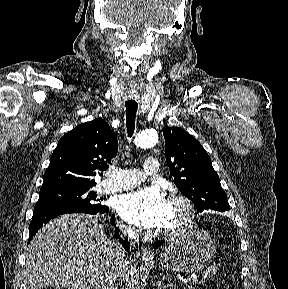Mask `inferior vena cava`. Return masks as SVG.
Instances as JSON below:
<instances>
[{"instance_id": "602c4592", "label": "inferior vena cava", "mask_w": 288, "mask_h": 289, "mask_svg": "<svg viewBox=\"0 0 288 289\" xmlns=\"http://www.w3.org/2000/svg\"><path fill=\"white\" fill-rule=\"evenodd\" d=\"M122 237L133 239L136 230L125 225H120ZM125 262V250L118 242H112L110 247V258L106 265L95 277V289H117V282L122 275Z\"/></svg>"}]
</instances>
